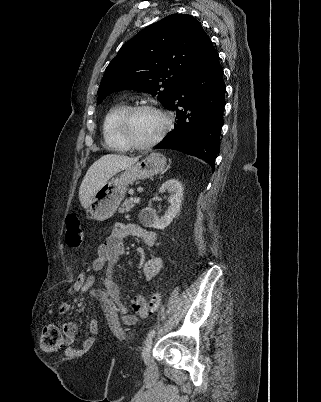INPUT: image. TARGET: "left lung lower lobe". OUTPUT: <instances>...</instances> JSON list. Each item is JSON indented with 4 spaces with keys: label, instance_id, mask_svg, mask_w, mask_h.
Segmentation results:
<instances>
[{
    "label": "left lung lower lobe",
    "instance_id": "left-lung-lower-lobe-1",
    "mask_svg": "<svg viewBox=\"0 0 321 402\" xmlns=\"http://www.w3.org/2000/svg\"><path fill=\"white\" fill-rule=\"evenodd\" d=\"M225 88L218 53L209 40L180 81L168 106L176 115L174 129L155 148L175 149L196 156L214 170L223 125Z\"/></svg>",
    "mask_w": 321,
    "mask_h": 402
}]
</instances>
